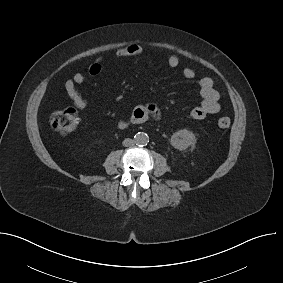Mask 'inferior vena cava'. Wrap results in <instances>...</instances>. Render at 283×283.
<instances>
[{"instance_id":"602c4592","label":"inferior vena cava","mask_w":283,"mask_h":283,"mask_svg":"<svg viewBox=\"0 0 283 283\" xmlns=\"http://www.w3.org/2000/svg\"><path fill=\"white\" fill-rule=\"evenodd\" d=\"M134 140L133 139H130V138H126V139H124V141H123V146H125V147H130V146H132V145H134Z\"/></svg>"}]
</instances>
